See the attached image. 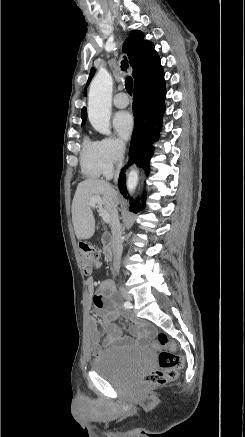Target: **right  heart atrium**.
<instances>
[{
  "mask_svg": "<svg viewBox=\"0 0 245 437\" xmlns=\"http://www.w3.org/2000/svg\"><path fill=\"white\" fill-rule=\"evenodd\" d=\"M98 155L104 175H110L121 164L125 154L124 143L115 137H103L97 141Z\"/></svg>",
  "mask_w": 245,
  "mask_h": 437,
  "instance_id": "obj_1",
  "label": "right heart atrium"
}]
</instances>
